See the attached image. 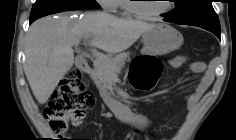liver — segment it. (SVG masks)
<instances>
[{
	"label": "liver",
	"instance_id": "1",
	"mask_svg": "<svg viewBox=\"0 0 236 140\" xmlns=\"http://www.w3.org/2000/svg\"><path fill=\"white\" fill-rule=\"evenodd\" d=\"M155 25L105 12H89L75 21L68 14L36 20L26 35L24 65L35 98L40 104L48 101L73 66L72 47L83 37H91V46L112 55L127 50Z\"/></svg>",
	"mask_w": 236,
	"mask_h": 140
}]
</instances>
